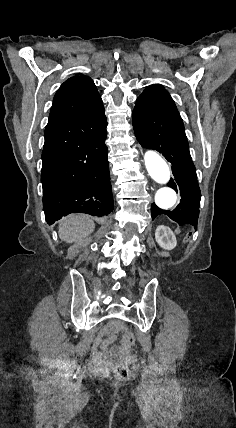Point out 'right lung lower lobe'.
<instances>
[{
  "label": "right lung lower lobe",
  "instance_id": "98d812e1",
  "mask_svg": "<svg viewBox=\"0 0 236 428\" xmlns=\"http://www.w3.org/2000/svg\"><path fill=\"white\" fill-rule=\"evenodd\" d=\"M106 126L104 108L46 126L41 182L48 224L70 213L101 217L114 209Z\"/></svg>",
  "mask_w": 236,
  "mask_h": 428
}]
</instances>
